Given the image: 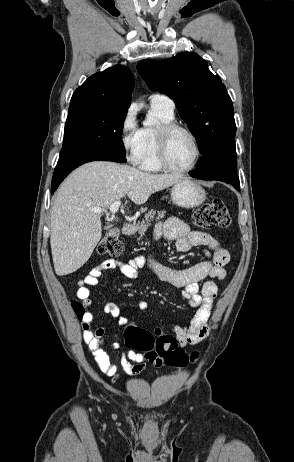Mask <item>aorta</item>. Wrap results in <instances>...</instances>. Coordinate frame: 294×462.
<instances>
[{"instance_id": "aorta-1", "label": "aorta", "mask_w": 294, "mask_h": 462, "mask_svg": "<svg viewBox=\"0 0 294 462\" xmlns=\"http://www.w3.org/2000/svg\"><path fill=\"white\" fill-rule=\"evenodd\" d=\"M152 124H153V122H151V121L144 122V125H146V126H150Z\"/></svg>"}]
</instances>
